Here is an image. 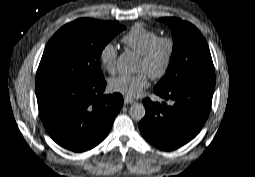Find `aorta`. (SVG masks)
I'll use <instances>...</instances> for the list:
<instances>
[{"label":"aorta","instance_id":"1","mask_svg":"<svg viewBox=\"0 0 255 177\" xmlns=\"http://www.w3.org/2000/svg\"><path fill=\"white\" fill-rule=\"evenodd\" d=\"M117 68L123 73H133L136 69V65L132 54L129 52L121 53L117 59ZM129 114L132 119L140 121L146 114L144 105L141 103H133L129 109Z\"/></svg>","mask_w":255,"mask_h":177}]
</instances>
